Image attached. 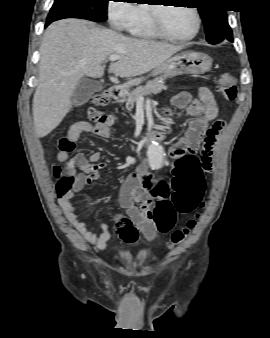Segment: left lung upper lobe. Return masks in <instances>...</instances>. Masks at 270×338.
<instances>
[{
  "mask_svg": "<svg viewBox=\"0 0 270 338\" xmlns=\"http://www.w3.org/2000/svg\"><path fill=\"white\" fill-rule=\"evenodd\" d=\"M198 7L206 32V40L217 44L223 39L233 41L232 31L227 21V11L220 6L223 0H199Z\"/></svg>",
  "mask_w": 270,
  "mask_h": 338,
  "instance_id": "left-lung-upper-lobe-1",
  "label": "left lung upper lobe"
}]
</instances>
